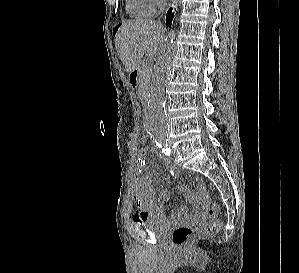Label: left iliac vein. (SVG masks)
Segmentation results:
<instances>
[{
    "mask_svg": "<svg viewBox=\"0 0 299 273\" xmlns=\"http://www.w3.org/2000/svg\"><path fill=\"white\" fill-rule=\"evenodd\" d=\"M172 154H173L174 156H176L177 153H176V150H175V149L172 150Z\"/></svg>",
    "mask_w": 299,
    "mask_h": 273,
    "instance_id": "1",
    "label": "left iliac vein"
}]
</instances>
